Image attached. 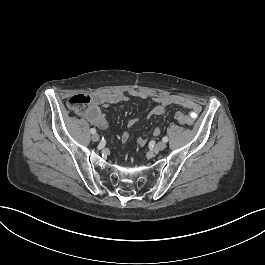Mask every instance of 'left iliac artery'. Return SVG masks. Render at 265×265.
Wrapping results in <instances>:
<instances>
[{
    "label": "left iliac artery",
    "mask_w": 265,
    "mask_h": 265,
    "mask_svg": "<svg viewBox=\"0 0 265 265\" xmlns=\"http://www.w3.org/2000/svg\"><path fill=\"white\" fill-rule=\"evenodd\" d=\"M162 140H163L164 142H167V141H168V137H167V136H164Z\"/></svg>",
    "instance_id": "left-iliac-artery-1"
}]
</instances>
